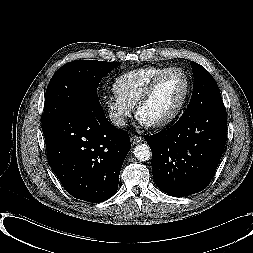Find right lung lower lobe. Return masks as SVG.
Returning a JSON list of instances; mask_svg holds the SVG:
<instances>
[{
  "label": "right lung lower lobe",
  "mask_w": 253,
  "mask_h": 253,
  "mask_svg": "<svg viewBox=\"0 0 253 253\" xmlns=\"http://www.w3.org/2000/svg\"><path fill=\"white\" fill-rule=\"evenodd\" d=\"M43 134L50 166L70 195L98 203L115 194L131 143L101 105L79 106Z\"/></svg>",
  "instance_id": "98d812e1"
}]
</instances>
